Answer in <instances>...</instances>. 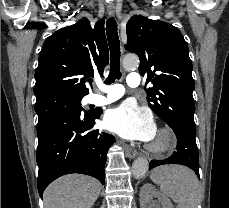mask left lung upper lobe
I'll return each instance as SVG.
<instances>
[{"mask_svg":"<svg viewBox=\"0 0 229 208\" xmlns=\"http://www.w3.org/2000/svg\"><path fill=\"white\" fill-rule=\"evenodd\" d=\"M126 50L140 58L139 72L147 74L150 108L171 128L196 130L192 92V62L181 32L173 25L135 15L127 23Z\"/></svg>","mask_w":229,"mask_h":208,"instance_id":"left-lung-upper-lobe-1","label":"left lung upper lobe"}]
</instances>
